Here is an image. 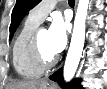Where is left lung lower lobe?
<instances>
[{
	"instance_id": "left-lung-lower-lobe-1",
	"label": "left lung lower lobe",
	"mask_w": 107,
	"mask_h": 89,
	"mask_svg": "<svg viewBox=\"0 0 107 89\" xmlns=\"http://www.w3.org/2000/svg\"><path fill=\"white\" fill-rule=\"evenodd\" d=\"M51 80L57 82L61 87L66 89H82V86L80 85L79 79H74L70 83L67 84V86H64L63 83V70L62 68L56 71L54 74H52L49 77Z\"/></svg>"
}]
</instances>
